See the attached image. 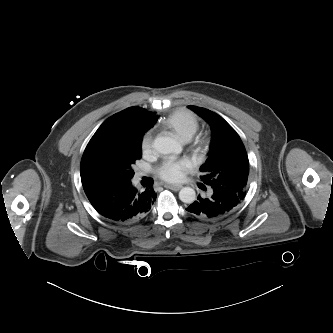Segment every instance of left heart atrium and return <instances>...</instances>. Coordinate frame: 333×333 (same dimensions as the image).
Wrapping results in <instances>:
<instances>
[{
    "mask_svg": "<svg viewBox=\"0 0 333 333\" xmlns=\"http://www.w3.org/2000/svg\"><path fill=\"white\" fill-rule=\"evenodd\" d=\"M188 168L189 164L186 160L167 159L158 168L157 173L161 179L174 183L184 177Z\"/></svg>",
    "mask_w": 333,
    "mask_h": 333,
    "instance_id": "left-heart-atrium-1",
    "label": "left heart atrium"
}]
</instances>
